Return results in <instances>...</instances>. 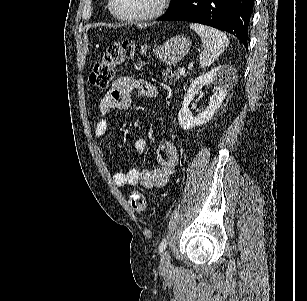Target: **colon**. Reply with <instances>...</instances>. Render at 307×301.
Wrapping results in <instances>:
<instances>
[{"mask_svg":"<svg viewBox=\"0 0 307 301\" xmlns=\"http://www.w3.org/2000/svg\"><path fill=\"white\" fill-rule=\"evenodd\" d=\"M136 51L137 45L132 41L109 45L102 58L94 65L89 76L90 83L99 89L108 87L114 78L116 66L132 58ZM129 203L138 213H144L147 210V199L140 191L130 192Z\"/></svg>","mask_w":307,"mask_h":301,"instance_id":"obj_1","label":"colon"}]
</instances>
